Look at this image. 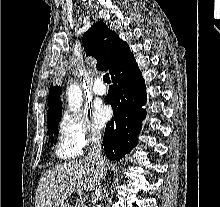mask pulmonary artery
<instances>
[{"instance_id": "obj_1", "label": "pulmonary artery", "mask_w": 220, "mask_h": 207, "mask_svg": "<svg viewBox=\"0 0 220 207\" xmlns=\"http://www.w3.org/2000/svg\"><path fill=\"white\" fill-rule=\"evenodd\" d=\"M93 92L97 96H103L106 93V87L100 80H97L93 86Z\"/></svg>"}]
</instances>
